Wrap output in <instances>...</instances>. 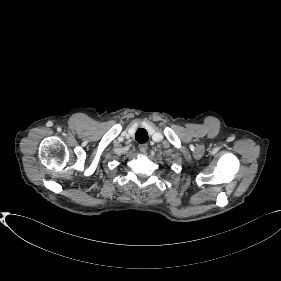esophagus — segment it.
<instances>
[{"label":"esophagus","mask_w":281,"mask_h":281,"mask_svg":"<svg viewBox=\"0 0 281 281\" xmlns=\"http://www.w3.org/2000/svg\"><path fill=\"white\" fill-rule=\"evenodd\" d=\"M147 149H148L147 144H140L139 145V150H140L141 153H146Z\"/></svg>","instance_id":"1"}]
</instances>
